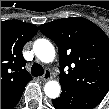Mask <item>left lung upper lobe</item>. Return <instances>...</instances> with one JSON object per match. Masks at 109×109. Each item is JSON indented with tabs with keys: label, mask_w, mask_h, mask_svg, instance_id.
Listing matches in <instances>:
<instances>
[{
	"label": "left lung upper lobe",
	"mask_w": 109,
	"mask_h": 109,
	"mask_svg": "<svg viewBox=\"0 0 109 109\" xmlns=\"http://www.w3.org/2000/svg\"><path fill=\"white\" fill-rule=\"evenodd\" d=\"M39 29L58 46L60 84L103 99L109 91L107 35L82 17L58 19L40 25Z\"/></svg>",
	"instance_id": "obj_1"
}]
</instances>
